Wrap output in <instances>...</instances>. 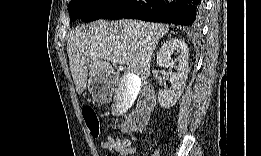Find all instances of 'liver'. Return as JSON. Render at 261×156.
<instances>
[{
  "instance_id": "1",
  "label": "liver",
  "mask_w": 261,
  "mask_h": 156,
  "mask_svg": "<svg viewBox=\"0 0 261 156\" xmlns=\"http://www.w3.org/2000/svg\"><path fill=\"white\" fill-rule=\"evenodd\" d=\"M167 33V25L127 19L115 22L99 20L76 27L67 41L76 91L79 95L84 92L88 76L105 75L109 78L115 75L109 60L102 58V54L125 59L131 74L145 82L150 74L152 54ZM131 103L118 97L112 106L113 113H123Z\"/></svg>"
}]
</instances>
